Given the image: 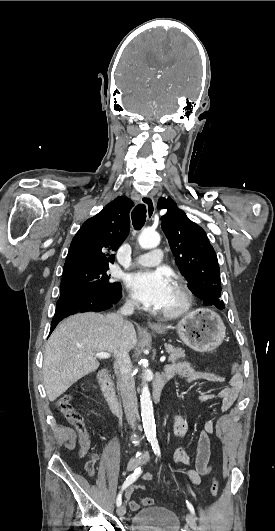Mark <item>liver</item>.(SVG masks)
<instances>
[{
	"label": "liver",
	"mask_w": 275,
	"mask_h": 531,
	"mask_svg": "<svg viewBox=\"0 0 275 531\" xmlns=\"http://www.w3.org/2000/svg\"><path fill=\"white\" fill-rule=\"evenodd\" d=\"M100 313H78L53 331L45 349L43 379L49 401H56L73 383L99 367L94 353H113L117 345L134 349L137 339L132 323L121 329Z\"/></svg>",
	"instance_id": "obj_1"
}]
</instances>
